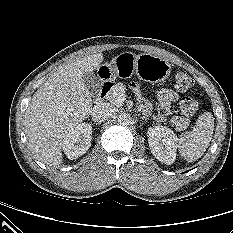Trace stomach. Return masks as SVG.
Returning <instances> with one entry per match:
<instances>
[{
  "label": "stomach",
  "mask_w": 233,
  "mask_h": 233,
  "mask_svg": "<svg viewBox=\"0 0 233 233\" xmlns=\"http://www.w3.org/2000/svg\"><path fill=\"white\" fill-rule=\"evenodd\" d=\"M110 71H118L127 68L128 72L135 71L138 78L143 81L157 83L168 78L171 65L163 58L152 54L135 55L131 52H123L116 57L113 66L106 65Z\"/></svg>",
  "instance_id": "stomach-1"
}]
</instances>
